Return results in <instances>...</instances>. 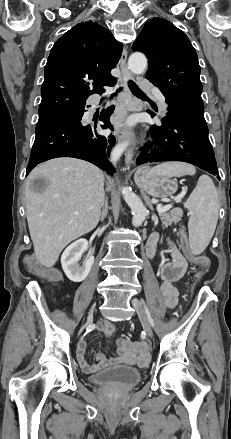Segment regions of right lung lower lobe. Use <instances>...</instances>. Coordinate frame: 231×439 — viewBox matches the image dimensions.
<instances>
[{"mask_svg":"<svg viewBox=\"0 0 231 439\" xmlns=\"http://www.w3.org/2000/svg\"><path fill=\"white\" fill-rule=\"evenodd\" d=\"M89 107V106H87ZM115 106L103 110L100 114V121L103 129L113 126L109 117ZM84 107L75 113L54 120L38 124L36 126V137L32 147L27 172L39 163L56 157H74L89 161L113 175L115 170L108 160L109 151L115 145L113 135H100L95 125L81 123L84 114Z\"/></svg>","mask_w":231,"mask_h":439,"instance_id":"98d812e1","label":"right lung lower lobe"}]
</instances>
